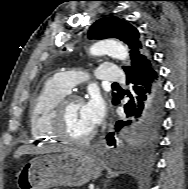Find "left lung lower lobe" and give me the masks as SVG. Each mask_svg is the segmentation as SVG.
<instances>
[{
    "label": "left lung lower lobe",
    "mask_w": 188,
    "mask_h": 189,
    "mask_svg": "<svg viewBox=\"0 0 188 189\" xmlns=\"http://www.w3.org/2000/svg\"><path fill=\"white\" fill-rule=\"evenodd\" d=\"M125 73L126 82L130 85L125 94L130 100L125 104L124 110L129 120L117 122L116 131L123 126H127L131 133L160 125L164 110V90L152 61L143 60ZM118 103L117 99L114 104ZM107 138L108 145H115L113 132Z\"/></svg>",
    "instance_id": "left-lung-lower-lobe-1"
}]
</instances>
